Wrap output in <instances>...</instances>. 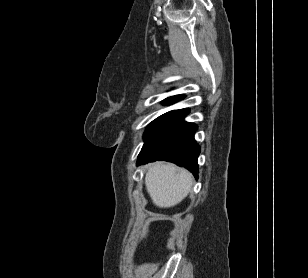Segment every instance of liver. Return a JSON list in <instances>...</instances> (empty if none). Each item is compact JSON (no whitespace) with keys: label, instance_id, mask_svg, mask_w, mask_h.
Returning <instances> with one entry per match:
<instances>
[{"label":"liver","instance_id":"liver-1","mask_svg":"<svg viewBox=\"0 0 308 278\" xmlns=\"http://www.w3.org/2000/svg\"><path fill=\"white\" fill-rule=\"evenodd\" d=\"M193 177L171 163L156 162L149 166L145 185L153 203L160 208L173 207L191 191Z\"/></svg>","mask_w":308,"mask_h":278}]
</instances>
